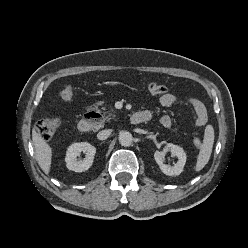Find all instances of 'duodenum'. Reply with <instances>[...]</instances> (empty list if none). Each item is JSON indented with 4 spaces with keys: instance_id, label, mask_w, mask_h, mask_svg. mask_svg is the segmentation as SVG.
Instances as JSON below:
<instances>
[{
    "instance_id": "obj_1",
    "label": "duodenum",
    "mask_w": 248,
    "mask_h": 248,
    "mask_svg": "<svg viewBox=\"0 0 248 248\" xmlns=\"http://www.w3.org/2000/svg\"><path fill=\"white\" fill-rule=\"evenodd\" d=\"M151 119L149 114L137 112L130 116L129 120L132 124L137 125L147 122ZM101 125V116L98 113L90 112L83 116L78 123L81 132H90L97 129Z\"/></svg>"
}]
</instances>
